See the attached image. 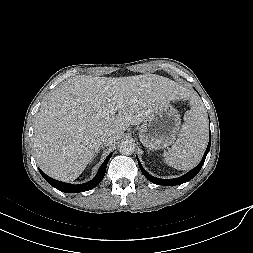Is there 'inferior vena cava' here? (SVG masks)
Segmentation results:
<instances>
[{
	"instance_id": "602c4592",
	"label": "inferior vena cava",
	"mask_w": 253,
	"mask_h": 253,
	"mask_svg": "<svg viewBox=\"0 0 253 253\" xmlns=\"http://www.w3.org/2000/svg\"><path fill=\"white\" fill-rule=\"evenodd\" d=\"M114 140V136L108 131L101 132L99 136V141L102 146H108L112 144Z\"/></svg>"
}]
</instances>
